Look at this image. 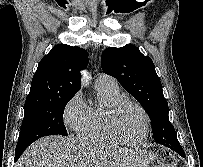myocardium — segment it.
<instances>
[{
  "label": "myocardium",
  "instance_id": "1",
  "mask_svg": "<svg viewBox=\"0 0 203 167\" xmlns=\"http://www.w3.org/2000/svg\"><path fill=\"white\" fill-rule=\"evenodd\" d=\"M125 105H133L136 108L140 110V112L143 115L144 118V132L143 135L134 141L126 140L124 139L117 131L116 129V119L121 111V109ZM105 128L108 132V134L118 143L128 145V146H137L142 144L148 137L149 131H150V117L146 109L137 101L127 98V97H121L117 99L110 111L108 112L106 119H105Z\"/></svg>",
  "mask_w": 203,
  "mask_h": 167
}]
</instances>
